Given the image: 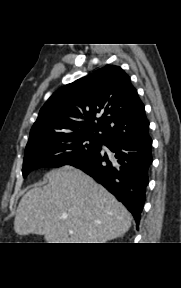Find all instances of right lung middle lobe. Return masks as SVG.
Segmentation results:
<instances>
[{
  "instance_id": "dd1d6c3e",
  "label": "right lung middle lobe",
  "mask_w": 181,
  "mask_h": 288,
  "mask_svg": "<svg viewBox=\"0 0 181 288\" xmlns=\"http://www.w3.org/2000/svg\"><path fill=\"white\" fill-rule=\"evenodd\" d=\"M103 141L84 134H51L28 141L23 177L40 167H59L84 159L101 150Z\"/></svg>"
}]
</instances>
